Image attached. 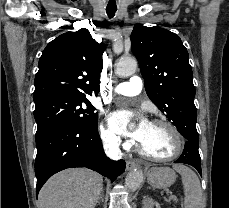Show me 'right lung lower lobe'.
<instances>
[{"instance_id": "98d812e1", "label": "right lung lower lobe", "mask_w": 229, "mask_h": 208, "mask_svg": "<svg viewBox=\"0 0 229 208\" xmlns=\"http://www.w3.org/2000/svg\"><path fill=\"white\" fill-rule=\"evenodd\" d=\"M36 195L55 173L73 167H87L114 181L125 170V161L108 159L98 134V128L88 129L73 123H63L36 138Z\"/></svg>"}]
</instances>
